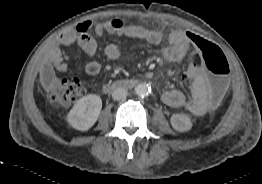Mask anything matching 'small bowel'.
<instances>
[{"instance_id": "obj_1", "label": "small bowel", "mask_w": 262, "mask_h": 184, "mask_svg": "<svg viewBox=\"0 0 262 184\" xmlns=\"http://www.w3.org/2000/svg\"><path fill=\"white\" fill-rule=\"evenodd\" d=\"M92 23L83 21L73 29L66 30L58 36V43L52 47L48 55L49 67L58 72H66L67 64L61 45L67 46L77 43L87 55L93 57L97 51V43L89 34ZM94 32L97 36H103L105 33L116 34L130 39H141L146 42L157 45L162 40V34L159 30L149 29L143 26H129L120 31H115L109 23H99L95 25ZM202 38L192 32L173 30L169 34V45L163 50L166 61L176 63L183 60L187 55L189 66L174 71L173 76L178 81H183L185 87L190 88L194 84L202 71V63L194 54L202 55L197 48V41ZM105 54L109 59L117 60L120 57L118 45L109 44L105 48ZM85 72L89 75H97L101 71V64L96 60H90L85 63ZM209 87L204 78H199L193 88L192 97H186L179 90H168L162 95L163 102L170 107H182L194 115H204L211 107L208 105Z\"/></svg>"}]
</instances>
